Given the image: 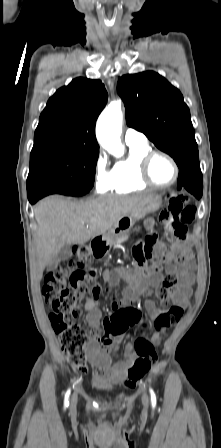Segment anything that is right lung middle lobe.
<instances>
[{
  "label": "right lung middle lobe",
  "instance_id": "dd1d6c3e",
  "mask_svg": "<svg viewBox=\"0 0 221 448\" xmlns=\"http://www.w3.org/2000/svg\"><path fill=\"white\" fill-rule=\"evenodd\" d=\"M99 148L60 143L33 148L27 184L49 181L72 190L91 189Z\"/></svg>",
  "mask_w": 221,
  "mask_h": 448
}]
</instances>
